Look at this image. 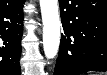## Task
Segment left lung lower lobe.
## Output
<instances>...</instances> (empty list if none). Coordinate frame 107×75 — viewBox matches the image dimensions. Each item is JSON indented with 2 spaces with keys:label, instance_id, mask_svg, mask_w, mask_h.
<instances>
[{
  "label": "left lung lower lobe",
  "instance_id": "obj_1",
  "mask_svg": "<svg viewBox=\"0 0 107 75\" xmlns=\"http://www.w3.org/2000/svg\"><path fill=\"white\" fill-rule=\"evenodd\" d=\"M64 34L54 75H79L88 71H107V0H59ZM79 17L83 36L66 38L68 24Z\"/></svg>",
  "mask_w": 107,
  "mask_h": 75
}]
</instances>
